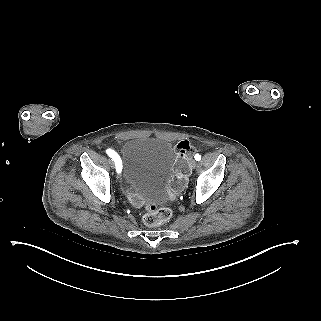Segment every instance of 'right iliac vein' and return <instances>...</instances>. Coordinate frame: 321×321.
Instances as JSON below:
<instances>
[{
    "instance_id": "63e3f726",
    "label": "right iliac vein",
    "mask_w": 321,
    "mask_h": 321,
    "mask_svg": "<svg viewBox=\"0 0 321 321\" xmlns=\"http://www.w3.org/2000/svg\"><path fill=\"white\" fill-rule=\"evenodd\" d=\"M109 164H110L111 168L115 167V164H114V162L112 160L109 161Z\"/></svg>"
}]
</instances>
